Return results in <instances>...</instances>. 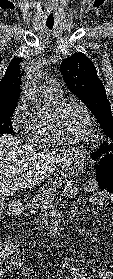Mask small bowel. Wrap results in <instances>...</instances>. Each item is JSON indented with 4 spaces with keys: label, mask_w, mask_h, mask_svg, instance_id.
<instances>
[{
    "label": "small bowel",
    "mask_w": 113,
    "mask_h": 279,
    "mask_svg": "<svg viewBox=\"0 0 113 279\" xmlns=\"http://www.w3.org/2000/svg\"><path fill=\"white\" fill-rule=\"evenodd\" d=\"M84 189L86 192H93L95 190V183L93 180H89L85 183ZM109 201L110 203H113V195H107V194H98L94 195L91 199L92 203L95 205H100L104 201ZM112 219H113V212H112ZM27 278L33 279L32 277V271L27 270L26 271ZM71 274L74 279H113V272H110L106 269H99L96 273H85L81 271L80 269H72ZM1 279V276H0Z\"/></svg>",
    "instance_id": "obj_1"
}]
</instances>
